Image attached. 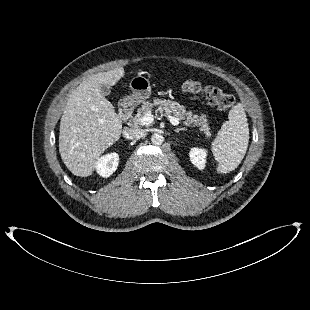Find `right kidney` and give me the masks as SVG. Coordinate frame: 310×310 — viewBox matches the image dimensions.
I'll use <instances>...</instances> for the list:
<instances>
[{"label": "right kidney", "mask_w": 310, "mask_h": 310, "mask_svg": "<svg viewBox=\"0 0 310 310\" xmlns=\"http://www.w3.org/2000/svg\"><path fill=\"white\" fill-rule=\"evenodd\" d=\"M118 163H119L118 154L110 153L100 157L97 160V162L95 163V169L100 176L107 178L116 171Z\"/></svg>", "instance_id": "1"}]
</instances>
